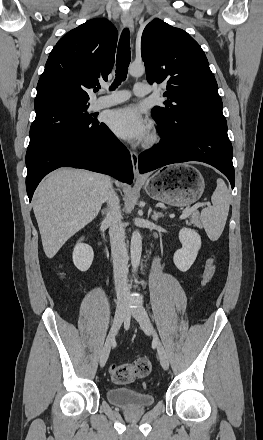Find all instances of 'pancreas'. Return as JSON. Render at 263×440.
Returning <instances> with one entry per match:
<instances>
[{
  "label": "pancreas",
  "mask_w": 263,
  "mask_h": 440,
  "mask_svg": "<svg viewBox=\"0 0 263 440\" xmlns=\"http://www.w3.org/2000/svg\"><path fill=\"white\" fill-rule=\"evenodd\" d=\"M188 217H189V222L187 221L188 225L193 224L195 227L202 228L201 217L197 210L193 211Z\"/></svg>",
  "instance_id": "pancreas-1"
}]
</instances>
